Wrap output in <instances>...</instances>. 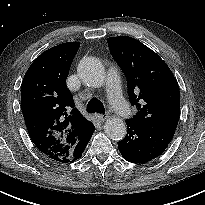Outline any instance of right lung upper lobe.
<instances>
[{
  "label": "right lung upper lobe",
  "instance_id": "obj_1",
  "mask_svg": "<svg viewBox=\"0 0 205 205\" xmlns=\"http://www.w3.org/2000/svg\"><path fill=\"white\" fill-rule=\"evenodd\" d=\"M79 42L52 47L39 55L21 85V109L31 140L53 161L69 163L74 146L93 127L74 107L66 86Z\"/></svg>",
  "mask_w": 205,
  "mask_h": 205
}]
</instances>
